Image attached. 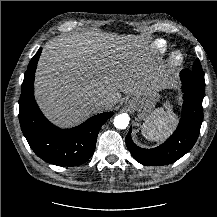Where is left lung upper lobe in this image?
<instances>
[{
  "instance_id": "left-lung-upper-lobe-1",
  "label": "left lung upper lobe",
  "mask_w": 217,
  "mask_h": 217,
  "mask_svg": "<svg viewBox=\"0 0 217 217\" xmlns=\"http://www.w3.org/2000/svg\"><path fill=\"white\" fill-rule=\"evenodd\" d=\"M191 72V74L198 79L199 81L205 83L204 81V72L203 69L201 67L200 61L199 59H196V61L193 64V67L191 70H189Z\"/></svg>"
}]
</instances>
